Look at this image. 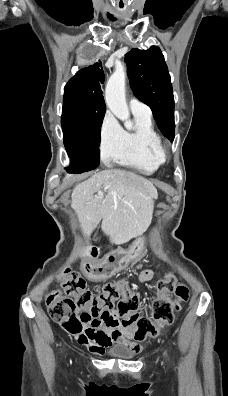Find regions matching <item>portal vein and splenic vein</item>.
I'll return each instance as SVG.
<instances>
[{"mask_svg":"<svg viewBox=\"0 0 228 396\" xmlns=\"http://www.w3.org/2000/svg\"><path fill=\"white\" fill-rule=\"evenodd\" d=\"M106 189V188H105ZM98 195L99 196H103V192L102 191H98Z\"/></svg>","mask_w":228,"mask_h":396,"instance_id":"obj_1","label":"portal vein and splenic vein"}]
</instances>
